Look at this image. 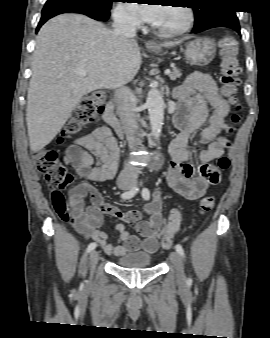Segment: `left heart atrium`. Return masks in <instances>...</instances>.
<instances>
[{
    "label": "left heart atrium",
    "instance_id": "39dd6f15",
    "mask_svg": "<svg viewBox=\"0 0 270 338\" xmlns=\"http://www.w3.org/2000/svg\"><path fill=\"white\" fill-rule=\"evenodd\" d=\"M131 6L144 21L152 24L158 20L162 9L160 5L150 4L132 3Z\"/></svg>",
    "mask_w": 270,
    "mask_h": 338
}]
</instances>
